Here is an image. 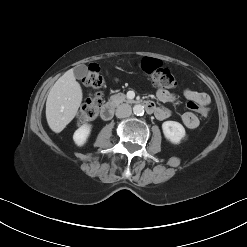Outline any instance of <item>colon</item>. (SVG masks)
Segmentation results:
<instances>
[{"label": "colon", "mask_w": 247, "mask_h": 247, "mask_svg": "<svg viewBox=\"0 0 247 247\" xmlns=\"http://www.w3.org/2000/svg\"><path fill=\"white\" fill-rule=\"evenodd\" d=\"M143 72L151 79L152 83L163 89L174 88L177 84L174 75L169 69L163 66L159 59L145 57L139 64ZM86 87L98 90L103 84V77L97 64H90L86 75L82 79ZM102 95L95 91L83 104L78 115V122L86 124L95 119L102 107ZM187 107L202 116L210 114V108L196 103H188Z\"/></svg>", "instance_id": "obj_1"}]
</instances>
